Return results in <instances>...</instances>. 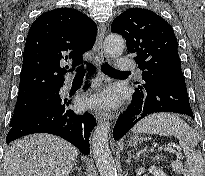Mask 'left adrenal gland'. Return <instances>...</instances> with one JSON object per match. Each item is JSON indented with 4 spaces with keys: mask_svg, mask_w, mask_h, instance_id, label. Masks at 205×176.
I'll return each mask as SVG.
<instances>
[{
    "mask_svg": "<svg viewBox=\"0 0 205 176\" xmlns=\"http://www.w3.org/2000/svg\"><path fill=\"white\" fill-rule=\"evenodd\" d=\"M132 159H138V156H135L131 153V151H128V158L126 160V163H130Z\"/></svg>",
    "mask_w": 205,
    "mask_h": 176,
    "instance_id": "left-adrenal-gland-1",
    "label": "left adrenal gland"
}]
</instances>
